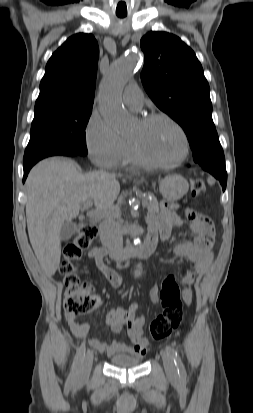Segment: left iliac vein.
Wrapping results in <instances>:
<instances>
[{"label":"left iliac vein","mask_w":253,"mask_h":413,"mask_svg":"<svg viewBox=\"0 0 253 413\" xmlns=\"http://www.w3.org/2000/svg\"><path fill=\"white\" fill-rule=\"evenodd\" d=\"M160 354H161L165 372L168 378L176 379L178 375H177V370H176L172 357L167 353L166 350H161Z\"/></svg>","instance_id":"4c4485c4"}]
</instances>
